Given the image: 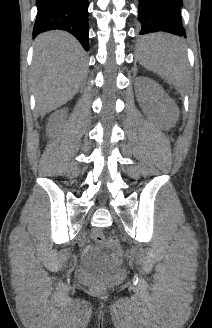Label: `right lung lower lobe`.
<instances>
[{
	"label": "right lung lower lobe",
	"mask_w": 212,
	"mask_h": 328,
	"mask_svg": "<svg viewBox=\"0 0 212 328\" xmlns=\"http://www.w3.org/2000/svg\"><path fill=\"white\" fill-rule=\"evenodd\" d=\"M36 4L34 37L48 30H66L88 51V0H36Z\"/></svg>",
	"instance_id": "98d812e1"
}]
</instances>
